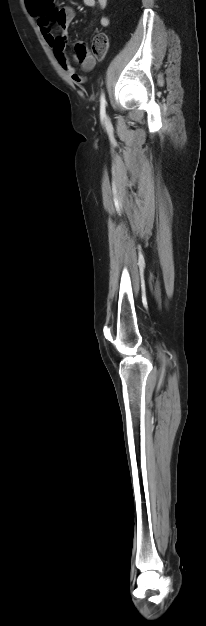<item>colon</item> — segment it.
I'll list each match as a JSON object with an SVG mask.
<instances>
[{
    "label": "colon",
    "mask_w": 206,
    "mask_h": 626,
    "mask_svg": "<svg viewBox=\"0 0 206 626\" xmlns=\"http://www.w3.org/2000/svg\"><path fill=\"white\" fill-rule=\"evenodd\" d=\"M108 48L109 42L107 36L104 33H98L95 35L92 41V55L96 59L101 60L106 56ZM84 80L85 78L82 77V81Z\"/></svg>",
    "instance_id": "colon-1"
}]
</instances>
